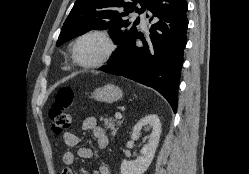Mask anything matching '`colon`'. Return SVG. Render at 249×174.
Returning <instances> with one entry per match:
<instances>
[{
  "label": "colon",
  "instance_id": "colon-1",
  "mask_svg": "<svg viewBox=\"0 0 249 174\" xmlns=\"http://www.w3.org/2000/svg\"><path fill=\"white\" fill-rule=\"evenodd\" d=\"M74 93L70 88H62L56 95L55 104L49 111L51 129L56 134H61L71 125L69 109L73 104Z\"/></svg>",
  "mask_w": 249,
  "mask_h": 174
}]
</instances>
